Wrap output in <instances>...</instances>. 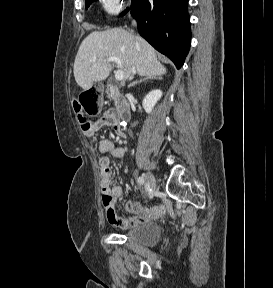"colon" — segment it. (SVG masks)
Here are the masks:
<instances>
[{"label":"colon","mask_w":273,"mask_h":288,"mask_svg":"<svg viewBox=\"0 0 273 288\" xmlns=\"http://www.w3.org/2000/svg\"><path fill=\"white\" fill-rule=\"evenodd\" d=\"M101 107L100 93L96 89L84 91L74 98L73 108L83 130L90 125L88 117L99 114Z\"/></svg>","instance_id":"colon-1"}]
</instances>
